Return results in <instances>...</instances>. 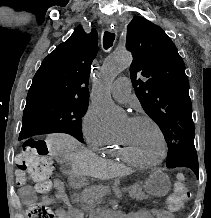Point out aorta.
<instances>
[{"label":"aorta","mask_w":211,"mask_h":218,"mask_svg":"<svg viewBox=\"0 0 211 218\" xmlns=\"http://www.w3.org/2000/svg\"><path fill=\"white\" fill-rule=\"evenodd\" d=\"M131 62L132 56L128 51H116L108 56L103 63L100 79L92 90V106L103 126L109 131L122 129L125 115L115 106L108 86Z\"/></svg>","instance_id":"1"}]
</instances>
